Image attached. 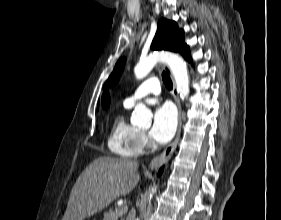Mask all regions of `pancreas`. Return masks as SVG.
Listing matches in <instances>:
<instances>
[{
	"label": "pancreas",
	"instance_id": "cf45deb5",
	"mask_svg": "<svg viewBox=\"0 0 281 220\" xmlns=\"http://www.w3.org/2000/svg\"><path fill=\"white\" fill-rule=\"evenodd\" d=\"M121 207H118L113 211L112 209H109V211L106 212L104 215L103 220H124L123 214H120Z\"/></svg>",
	"mask_w": 281,
	"mask_h": 220
}]
</instances>
